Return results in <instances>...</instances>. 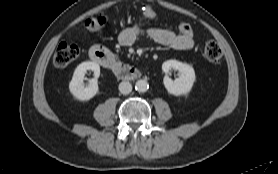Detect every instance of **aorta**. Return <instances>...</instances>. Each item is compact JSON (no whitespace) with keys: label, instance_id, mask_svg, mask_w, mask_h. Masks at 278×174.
<instances>
[{"label":"aorta","instance_id":"obj_1","mask_svg":"<svg viewBox=\"0 0 278 174\" xmlns=\"http://www.w3.org/2000/svg\"><path fill=\"white\" fill-rule=\"evenodd\" d=\"M149 88L148 82L146 80L140 79L135 83V89L138 92H146Z\"/></svg>","mask_w":278,"mask_h":174}]
</instances>
